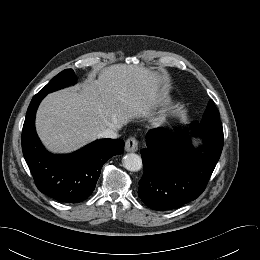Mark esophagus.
Listing matches in <instances>:
<instances>
[{
	"label": "esophagus",
	"instance_id": "34e87169",
	"mask_svg": "<svg viewBox=\"0 0 260 260\" xmlns=\"http://www.w3.org/2000/svg\"><path fill=\"white\" fill-rule=\"evenodd\" d=\"M127 152H136L138 150V141L135 137H129L125 143Z\"/></svg>",
	"mask_w": 260,
	"mask_h": 260
}]
</instances>
